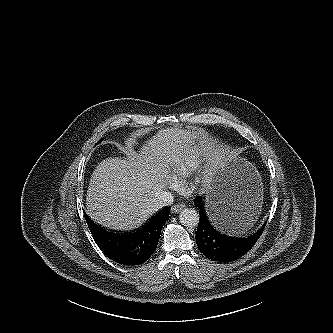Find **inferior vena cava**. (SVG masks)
I'll return each mask as SVG.
<instances>
[{
	"label": "inferior vena cava",
	"instance_id": "1",
	"mask_svg": "<svg viewBox=\"0 0 333 333\" xmlns=\"http://www.w3.org/2000/svg\"><path fill=\"white\" fill-rule=\"evenodd\" d=\"M174 196L171 192L161 191L159 195L154 199V206L158 210L165 206L173 204Z\"/></svg>",
	"mask_w": 333,
	"mask_h": 333
}]
</instances>
